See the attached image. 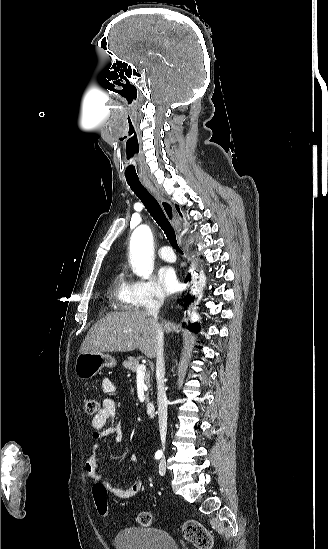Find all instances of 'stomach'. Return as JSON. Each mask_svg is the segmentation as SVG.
Masks as SVG:
<instances>
[{"mask_svg":"<svg viewBox=\"0 0 328 549\" xmlns=\"http://www.w3.org/2000/svg\"><path fill=\"white\" fill-rule=\"evenodd\" d=\"M103 367H116L114 357L104 353H80L75 363V375L82 381H89Z\"/></svg>","mask_w":328,"mask_h":549,"instance_id":"stomach-1","label":"stomach"}]
</instances>
